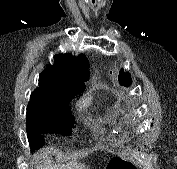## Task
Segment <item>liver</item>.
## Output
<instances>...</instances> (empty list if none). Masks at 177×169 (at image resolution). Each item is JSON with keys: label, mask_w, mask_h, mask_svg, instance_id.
<instances>
[{"label": "liver", "mask_w": 177, "mask_h": 169, "mask_svg": "<svg viewBox=\"0 0 177 169\" xmlns=\"http://www.w3.org/2000/svg\"><path fill=\"white\" fill-rule=\"evenodd\" d=\"M52 149V147L43 148L44 155L42 156V163L36 165V169H88L85 164L78 163L77 161L67 162L66 164H52L49 158ZM35 158H37V155H35ZM36 163H38V159Z\"/></svg>", "instance_id": "6515ba94"}]
</instances>
